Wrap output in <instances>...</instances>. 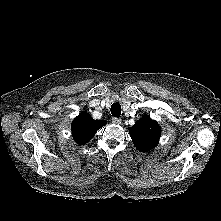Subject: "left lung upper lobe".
Returning a JSON list of instances; mask_svg holds the SVG:
<instances>
[{"label":"left lung upper lobe","mask_w":221,"mask_h":221,"mask_svg":"<svg viewBox=\"0 0 221 221\" xmlns=\"http://www.w3.org/2000/svg\"><path fill=\"white\" fill-rule=\"evenodd\" d=\"M130 135L135 146L142 152H147L155 147L161 136L158 123L144 115L130 128Z\"/></svg>","instance_id":"left-lung-upper-lobe-1"}]
</instances>
